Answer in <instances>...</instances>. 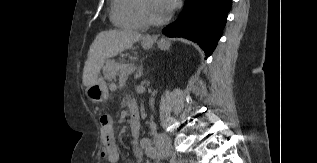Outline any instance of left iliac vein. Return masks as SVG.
I'll use <instances>...</instances> for the list:
<instances>
[{
    "mask_svg": "<svg viewBox=\"0 0 317 163\" xmlns=\"http://www.w3.org/2000/svg\"><path fill=\"white\" fill-rule=\"evenodd\" d=\"M168 156H170L171 157V163H183V161H177L176 159H175V157L173 156V154H172V151H170L169 153H168ZM186 163H195L194 161H192V160H190L189 162L188 161H186Z\"/></svg>",
    "mask_w": 317,
    "mask_h": 163,
    "instance_id": "obj_1",
    "label": "left iliac vein"
}]
</instances>
